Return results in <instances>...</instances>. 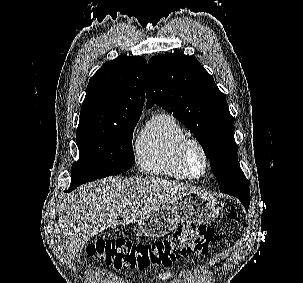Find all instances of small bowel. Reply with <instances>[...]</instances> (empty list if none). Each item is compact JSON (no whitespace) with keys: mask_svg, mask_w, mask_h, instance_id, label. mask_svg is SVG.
Returning a JSON list of instances; mask_svg holds the SVG:
<instances>
[{"mask_svg":"<svg viewBox=\"0 0 303 283\" xmlns=\"http://www.w3.org/2000/svg\"><path fill=\"white\" fill-rule=\"evenodd\" d=\"M172 275H173V273H170V272L161 273L157 276L147 279L146 283H157L160 281H164V280L169 279Z\"/></svg>","mask_w":303,"mask_h":283,"instance_id":"c3829d8e","label":"small bowel"}]
</instances>
